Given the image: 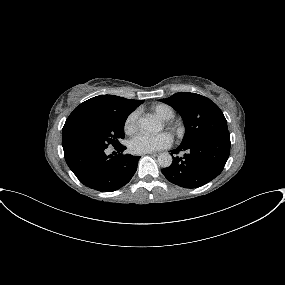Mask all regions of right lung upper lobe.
<instances>
[{
	"instance_id": "1",
	"label": "right lung upper lobe",
	"mask_w": 285,
	"mask_h": 285,
	"mask_svg": "<svg viewBox=\"0 0 285 285\" xmlns=\"http://www.w3.org/2000/svg\"><path fill=\"white\" fill-rule=\"evenodd\" d=\"M143 100L126 99L115 95H100L78 105L63 127V149L71 146L73 135L84 126L109 115L128 114Z\"/></svg>"
}]
</instances>
